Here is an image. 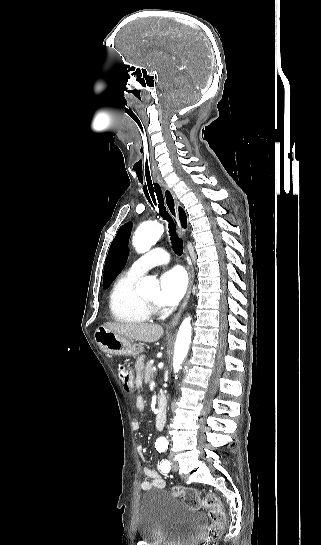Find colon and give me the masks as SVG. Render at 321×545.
Returning a JSON list of instances; mask_svg holds the SVG:
<instances>
[{
	"instance_id": "colon-1",
	"label": "colon",
	"mask_w": 321,
	"mask_h": 545,
	"mask_svg": "<svg viewBox=\"0 0 321 545\" xmlns=\"http://www.w3.org/2000/svg\"><path fill=\"white\" fill-rule=\"evenodd\" d=\"M117 374L125 389L131 391L133 389V383L130 368L125 364H119L117 367ZM173 492L189 507L199 508L202 506L205 508L211 520V524L200 545H217L223 534L226 522V515L219 498L214 494H207L200 499L197 491L188 487L178 486L173 489Z\"/></svg>"
}]
</instances>
